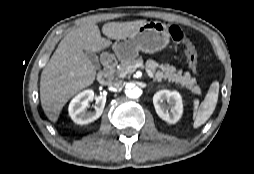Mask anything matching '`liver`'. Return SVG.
<instances>
[{
	"label": "liver",
	"mask_w": 254,
	"mask_h": 174,
	"mask_svg": "<svg viewBox=\"0 0 254 174\" xmlns=\"http://www.w3.org/2000/svg\"><path fill=\"white\" fill-rule=\"evenodd\" d=\"M146 23L109 22L103 25L102 33L118 40L134 34ZM108 39L101 37L99 27L90 22L71 30L61 40L40 78L41 105L49 120L55 123L67 101L94 82L96 69L84 51L100 52L111 45Z\"/></svg>",
	"instance_id": "obj_1"
}]
</instances>
